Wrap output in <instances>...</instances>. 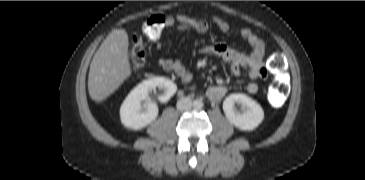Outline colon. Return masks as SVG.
<instances>
[{
    "mask_svg": "<svg viewBox=\"0 0 365 180\" xmlns=\"http://www.w3.org/2000/svg\"><path fill=\"white\" fill-rule=\"evenodd\" d=\"M165 28V17L154 15L144 24V33L152 40L161 37ZM130 64L134 71L141 70L147 60L145 45L140 37H135L130 48ZM268 67L273 75V82L268 91V100L270 104L278 108L285 102L288 94V83L286 81V61L281 52L273 53L268 61Z\"/></svg>",
    "mask_w": 365,
    "mask_h": 180,
    "instance_id": "5ec220e1",
    "label": "colon"
}]
</instances>
